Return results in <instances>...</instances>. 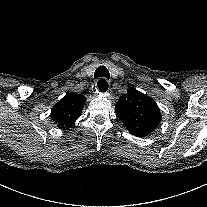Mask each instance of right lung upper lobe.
I'll return each mask as SVG.
<instances>
[{
	"label": "right lung upper lobe",
	"instance_id": "1",
	"mask_svg": "<svg viewBox=\"0 0 207 207\" xmlns=\"http://www.w3.org/2000/svg\"><path fill=\"white\" fill-rule=\"evenodd\" d=\"M86 97L82 94L67 93L51 111L52 120L59 128L70 127L82 112Z\"/></svg>",
	"mask_w": 207,
	"mask_h": 207
}]
</instances>
